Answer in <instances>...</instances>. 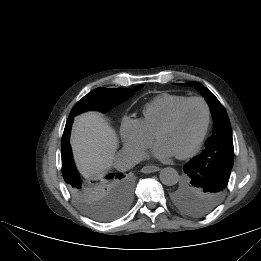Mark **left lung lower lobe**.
Listing matches in <instances>:
<instances>
[{
	"label": "left lung lower lobe",
	"instance_id": "1",
	"mask_svg": "<svg viewBox=\"0 0 261 261\" xmlns=\"http://www.w3.org/2000/svg\"><path fill=\"white\" fill-rule=\"evenodd\" d=\"M199 171L197 169V165L193 164V163H187L185 166H184V172L187 176L193 178L195 177L196 175H198V172Z\"/></svg>",
	"mask_w": 261,
	"mask_h": 261
}]
</instances>
